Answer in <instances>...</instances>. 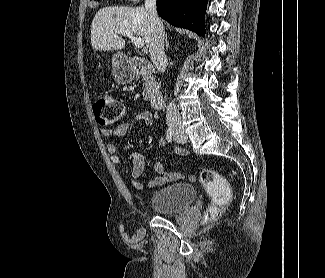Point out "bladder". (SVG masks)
Returning a JSON list of instances; mask_svg holds the SVG:
<instances>
[{"mask_svg":"<svg viewBox=\"0 0 325 278\" xmlns=\"http://www.w3.org/2000/svg\"><path fill=\"white\" fill-rule=\"evenodd\" d=\"M196 199V190L189 183H174L156 190L150 206L160 215L178 213L188 208Z\"/></svg>","mask_w":325,"mask_h":278,"instance_id":"obj_1","label":"bladder"}]
</instances>
